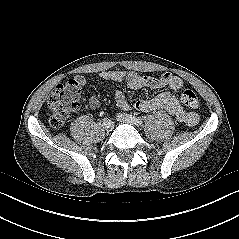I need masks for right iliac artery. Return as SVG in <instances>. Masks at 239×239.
<instances>
[{
  "label": "right iliac artery",
  "instance_id": "obj_1",
  "mask_svg": "<svg viewBox=\"0 0 239 239\" xmlns=\"http://www.w3.org/2000/svg\"><path fill=\"white\" fill-rule=\"evenodd\" d=\"M103 123L104 124L106 123V125L111 126V127L115 126V124H116L115 121H113V120H111L109 118H104L103 119Z\"/></svg>",
  "mask_w": 239,
  "mask_h": 239
}]
</instances>
